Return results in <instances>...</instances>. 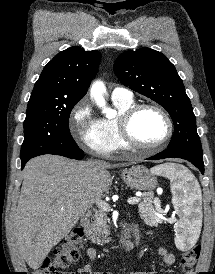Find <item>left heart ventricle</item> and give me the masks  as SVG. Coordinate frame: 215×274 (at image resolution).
Returning <instances> with one entry per match:
<instances>
[{
  "instance_id": "b2bd125f",
  "label": "left heart ventricle",
  "mask_w": 215,
  "mask_h": 274,
  "mask_svg": "<svg viewBox=\"0 0 215 274\" xmlns=\"http://www.w3.org/2000/svg\"><path fill=\"white\" fill-rule=\"evenodd\" d=\"M131 131L134 138L142 144H154L166 134L164 118L156 111L144 109L132 121Z\"/></svg>"
}]
</instances>
